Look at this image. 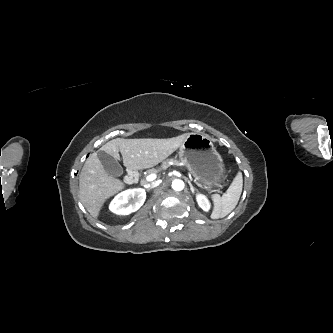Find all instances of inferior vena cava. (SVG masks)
I'll return each instance as SVG.
<instances>
[{"label":"inferior vena cava","instance_id":"inferior-vena-cava-1","mask_svg":"<svg viewBox=\"0 0 333 333\" xmlns=\"http://www.w3.org/2000/svg\"><path fill=\"white\" fill-rule=\"evenodd\" d=\"M159 185V181L153 182L151 184L145 185V188L150 189V188H155Z\"/></svg>","mask_w":333,"mask_h":333}]
</instances>
